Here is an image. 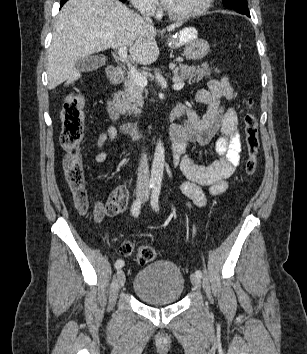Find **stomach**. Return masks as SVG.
I'll return each mask as SVG.
<instances>
[{
	"label": "stomach",
	"instance_id": "0dacf381",
	"mask_svg": "<svg viewBox=\"0 0 307 354\" xmlns=\"http://www.w3.org/2000/svg\"><path fill=\"white\" fill-rule=\"evenodd\" d=\"M170 47L177 48L184 45V56L189 60H200L208 55L209 43L197 38V30L193 27L182 29L177 35L168 39Z\"/></svg>",
	"mask_w": 307,
	"mask_h": 354
}]
</instances>
